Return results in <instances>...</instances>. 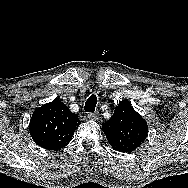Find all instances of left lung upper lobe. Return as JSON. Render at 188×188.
I'll list each match as a JSON object with an SVG mask.
<instances>
[{
  "label": "left lung upper lobe",
  "mask_w": 188,
  "mask_h": 188,
  "mask_svg": "<svg viewBox=\"0 0 188 188\" xmlns=\"http://www.w3.org/2000/svg\"><path fill=\"white\" fill-rule=\"evenodd\" d=\"M102 130L115 150L129 153L144 142L148 126L129 102L122 101L116 106L113 116L102 124Z\"/></svg>",
  "instance_id": "5c2ea615"
}]
</instances>
